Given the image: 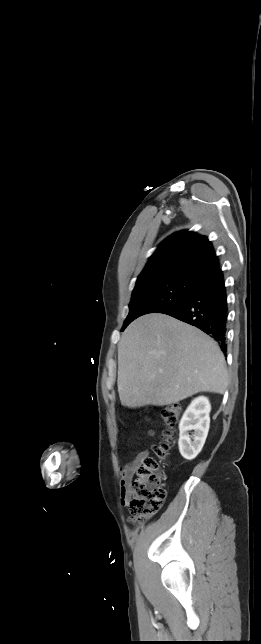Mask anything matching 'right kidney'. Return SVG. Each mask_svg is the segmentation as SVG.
I'll return each instance as SVG.
<instances>
[{
  "label": "right kidney",
  "mask_w": 261,
  "mask_h": 644,
  "mask_svg": "<svg viewBox=\"0 0 261 644\" xmlns=\"http://www.w3.org/2000/svg\"><path fill=\"white\" fill-rule=\"evenodd\" d=\"M211 405L208 398H195L184 412L179 423V451L187 459H194L202 450L210 427ZM194 430L193 441L189 431Z\"/></svg>",
  "instance_id": "1"
}]
</instances>
